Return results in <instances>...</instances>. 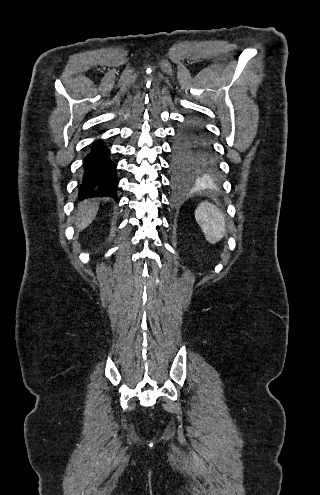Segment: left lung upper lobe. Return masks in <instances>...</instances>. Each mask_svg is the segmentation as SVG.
Listing matches in <instances>:
<instances>
[{
    "label": "left lung upper lobe",
    "mask_w": 320,
    "mask_h": 495,
    "mask_svg": "<svg viewBox=\"0 0 320 495\" xmlns=\"http://www.w3.org/2000/svg\"><path fill=\"white\" fill-rule=\"evenodd\" d=\"M172 167L175 173L184 176L194 172H208V164L195 146L191 128L186 125L177 133L173 146Z\"/></svg>",
    "instance_id": "1"
}]
</instances>
